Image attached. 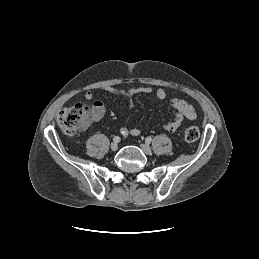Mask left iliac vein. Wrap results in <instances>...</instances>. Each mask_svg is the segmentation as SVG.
Instances as JSON below:
<instances>
[{"mask_svg":"<svg viewBox=\"0 0 259 259\" xmlns=\"http://www.w3.org/2000/svg\"><path fill=\"white\" fill-rule=\"evenodd\" d=\"M140 147L145 154L147 155L152 154V149L148 144H141Z\"/></svg>","mask_w":259,"mask_h":259,"instance_id":"4c4485c4","label":"left iliac vein"}]
</instances>
